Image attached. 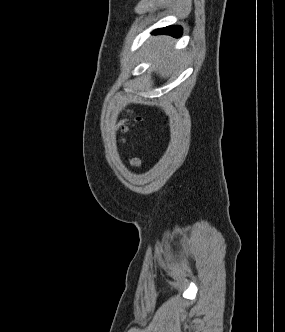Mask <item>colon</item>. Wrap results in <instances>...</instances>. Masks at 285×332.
Here are the masks:
<instances>
[{"instance_id":"1","label":"colon","mask_w":285,"mask_h":332,"mask_svg":"<svg viewBox=\"0 0 285 332\" xmlns=\"http://www.w3.org/2000/svg\"><path fill=\"white\" fill-rule=\"evenodd\" d=\"M122 131H123V132H126V131H127V127L123 126V127H122ZM132 164L136 166V165L139 164V161H138L137 159H134V160L132 161Z\"/></svg>"}]
</instances>
